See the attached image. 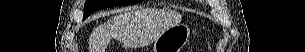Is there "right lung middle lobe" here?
<instances>
[{
	"instance_id": "right-lung-middle-lobe-1",
	"label": "right lung middle lobe",
	"mask_w": 305,
	"mask_h": 52,
	"mask_svg": "<svg viewBox=\"0 0 305 52\" xmlns=\"http://www.w3.org/2000/svg\"><path fill=\"white\" fill-rule=\"evenodd\" d=\"M143 0H87L84 5V17L85 20L93 12L104 9L106 7L118 6V5H129L133 3H138Z\"/></svg>"
}]
</instances>
